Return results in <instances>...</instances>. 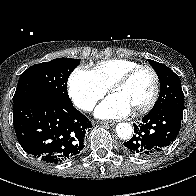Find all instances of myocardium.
<instances>
[{
  "mask_svg": "<svg viewBox=\"0 0 196 196\" xmlns=\"http://www.w3.org/2000/svg\"><path fill=\"white\" fill-rule=\"evenodd\" d=\"M143 70H147V71L151 72V74L153 75L154 88H153V92H152L150 99L143 106L133 110L134 114H143V113L148 112L149 110H151L153 108V106L157 102L158 97H159V93H160V77H159V74L157 73V71L149 65H140L138 67H135V68L129 70L128 72H126L122 76H120L108 88V92L110 94H112L113 91H115L119 88H122L126 84H128V82L134 76H136L139 72H141Z\"/></svg>",
  "mask_w": 196,
  "mask_h": 196,
  "instance_id": "obj_1",
  "label": "myocardium"
}]
</instances>
